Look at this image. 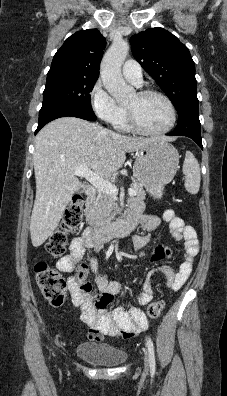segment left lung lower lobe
<instances>
[{
	"instance_id": "obj_1",
	"label": "left lung lower lobe",
	"mask_w": 227,
	"mask_h": 396,
	"mask_svg": "<svg viewBox=\"0 0 227 396\" xmlns=\"http://www.w3.org/2000/svg\"><path fill=\"white\" fill-rule=\"evenodd\" d=\"M167 135L189 137L193 139L201 149H203L200 133L198 105L186 107L179 114V121L175 130L168 133Z\"/></svg>"
}]
</instances>
